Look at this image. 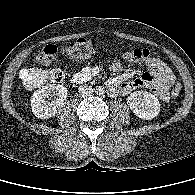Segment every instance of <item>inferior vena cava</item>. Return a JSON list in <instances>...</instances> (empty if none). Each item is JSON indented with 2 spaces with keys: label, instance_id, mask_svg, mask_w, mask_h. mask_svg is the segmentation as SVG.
<instances>
[{
  "label": "inferior vena cava",
  "instance_id": "obj_1",
  "mask_svg": "<svg viewBox=\"0 0 195 195\" xmlns=\"http://www.w3.org/2000/svg\"><path fill=\"white\" fill-rule=\"evenodd\" d=\"M92 86H82L79 88V94L82 98L90 97L93 94Z\"/></svg>",
  "mask_w": 195,
  "mask_h": 195
}]
</instances>
